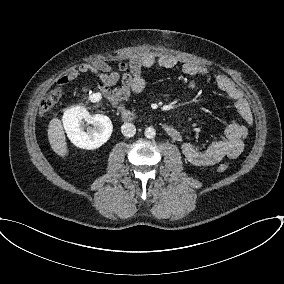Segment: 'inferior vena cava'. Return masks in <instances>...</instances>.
Returning a JSON list of instances; mask_svg holds the SVG:
<instances>
[{
	"mask_svg": "<svg viewBox=\"0 0 284 284\" xmlns=\"http://www.w3.org/2000/svg\"><path fill=\"white\" fill-rule=\"evenodd\" d=\"M121 132L126 137H132L136 133V127L132 123H124L121 126Z\"/></svg>",
	"mask_w": 284,
	"mask_h": 284,
	"instance_id": "inferior-vena-cava-1",
	"label": "inferior vena cava"
}]
</instances>
